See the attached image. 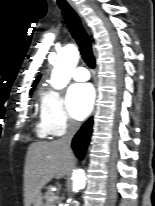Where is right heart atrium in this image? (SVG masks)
<instances>
[{
	"label": "right heart atrium",
	"instance_id": "1",
	"mask_svg": "<svg viewBox=\"0 0 155 206\" xmlns=\"http://www.w3.org/2000/svg\"><path fill=\"white\" fill-rule=\"evenodd\" d=\"M40 117L51 135H61L76 125L67 110L64 99L54 90H47L43 94Z\"/></svg>",
	"mask_w": 155,
	"mask_h": 206
}]
</instances>
